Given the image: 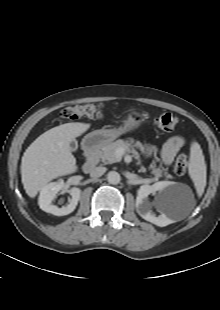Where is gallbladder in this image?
Returning <instances> with one entry per match:
<instances>
[{
  "label": "gallbladder",
  "instance_id": "obj_1",
  "mask_svg": "<svg viewBox=\"0 0 220 310\" xmlns=\"http://www.w3.org/2000/svg\"><path fill=\"white\" fill-rule=\"evenodd\" d=\"M78 148V142L73 139L71 142H70V149L71 151H76Z\"/></svg>",
  "mask_w": 220,
  "mask_h": 310
}]
</instances>
